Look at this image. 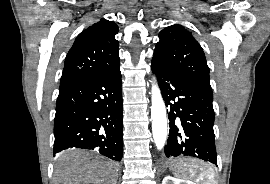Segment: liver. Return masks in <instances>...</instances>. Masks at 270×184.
I'll return each mask as SVG.
<instances>
[{
	"label": "liver",
	"mask_w": 270,
	"mask_h": 184,
	"mask_svg": "<svg viewBox=\"0 0 270 184\" xmlns=\"http://www.w3.org/2000/svg\"><path fill=\"white\" fill-rule=\"evenodd\" d=\"M58 157L64 163L55 169V184H117V168L112 162L85 155L83 151Z\"/></svg>",
	"instance_id": "liver-1"
}]
</instances>
